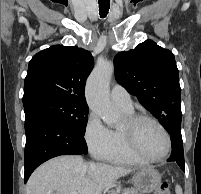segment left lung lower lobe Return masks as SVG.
Segmentation results:
<instances>
[{
  "label": "left lung lower lobe",
  "mask_w": 201,
  "mask_h": 194,
  "mask_svg": "<svg viewBox=\"0 0 201 194\" xmlns=\"http://www.w3.org/2000/svg\"><path fill=\"white\" fill-rule=\"evenodd\" d=\"M168 133L171 135L172 141V153L168 161L176 162L185 171L181 129L172 128Z\"/></svg>",
  "instance_id": "left-lung-lower-lobe-1"
}]
</instances>
